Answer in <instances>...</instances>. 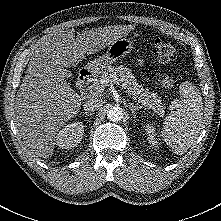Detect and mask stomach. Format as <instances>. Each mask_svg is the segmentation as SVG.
Segmentation results:
<instances>
[{
	"instance_id": "obj_1",
	"label": "stomach",
	"mask_w": 221,
	"mask_h": 221,
	"mask_svg": "<svg viewBox=\"0 0 221 221\" xmlns=\"http://www.w3.org/2000/svg\"><path fill=\"white\" fill-rule=\"evenodd\" d=\"M134 44L129 39H117L111 45L103 56L90 61L87 69L93 73H103L109 66L120 58L124 57L133 49Z\"/></svg>"
}]
</instances>
